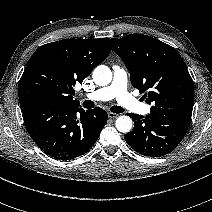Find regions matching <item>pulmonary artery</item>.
<instances>
[{
    "mask_svg": "<svg viewBox=\"0 0 212 212\" xmlns=\"http://www.w3.org/2000/svg\"><path fill=\"white\" fill-rule=\"evenodd\" d=\"M128 75L120 66H113V79L110 85L86 94V98L93 101H108L113 98L123 108L138 114H147L150 106L139 102L127 91Z\"/></svg>",
    "mask_w": 212,
    "mask_h": 212,
    "instance_id": "pulmonary-artery-1",
    "label": "pulmonary artery"
}]
</instances>
